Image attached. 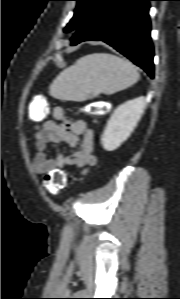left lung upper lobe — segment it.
Returning <instances> with one entry per match:
<instances>
[{
    "mask_svg": "<svg viewBox=\"0 0 180 299\" xmlns=\"http://www.w3.org/2000/svg\"><path fill=\"white\" fill-rule=\"evenodd\" d=\"M74 1H77L75 13L73 18L65 27L64 29L65 32L77 30V28L81 25L85 16L87 15V13L89 12V10L92 8V6L95 4L97 0H74Z\"/></svg>",
    "mask_w": 180,
    "mask_h": 299,
    "instance_id": "5c2ea615",
    "label": "left lung upper lobe"
}]
</instances>
